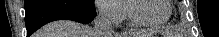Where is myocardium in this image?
Returning a JSON list of instances; mask_svg holds the SVG:
<instances>
[{"instance_id": "obj_1", "label": "myocardium", "mask_w": 219, "mask_h": 37, "mask_svg": "<svg viewBox=\"0 0 219 37\" xmlns=\"http://www.w3.org/2000/svg\"><path fill=\"white\" fill-rule=\"evenodd\" d=\"M140 1H143V0H130V1H128V14H129V18H130L133 25L138 26V27L157 28V27H161V26L165 25L167 23V21L170 19L171 15H172L171 1L163 0L165 5L168 7V14L164 19H162L160 21H147V20L140 19L136 15L135 7H134V4L136 2H140Z\"/></svg>"}]
</instances>
